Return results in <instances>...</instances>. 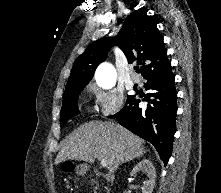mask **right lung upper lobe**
Returning a JSON list of instances; mask_svg holds the SVG:
<instances>
[{"mask_svg":"<svg viewBox=\"0 0 221 193\" xmlns=\"http://www.w3.org/2000/svg\"><path fill=\"white\" fill-rule=\"evenodd\" d=\"M157 21L145 13L129 16L117 37L102 38L91 43L74 62L66 88L86 86L97 66L105 60L106 51L117 45L129 63L137 61L143 77L171 66L163 37L158 32Z\"/></svg>","mask_w":221,"mask_h":193,"instance_id":"obj_1","label":"right lung upper lobe"}]
</instances>
